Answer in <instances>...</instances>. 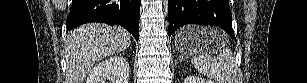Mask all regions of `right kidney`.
<instances>
[{
	"label": "right kidney",
	"mask_w": 307,
	"mask_h": 83,
	"mask_svg": "<svg viewBox=\"0 0 307 83\" xmlns=\"http://www.w3.org/2000/svg\"><path fill=\"white\" fill-rule=\"evenodd\" d=\"M129 72V64L123 57H110L92 68L86 83H128Z\"/></svg>",
	"instance_id": "1"
}]
</instances>
